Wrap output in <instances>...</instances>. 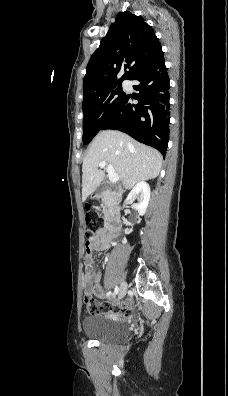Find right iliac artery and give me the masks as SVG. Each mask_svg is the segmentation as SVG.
Returning a JSON list of instances; mask_svg holds the SVG:
<instances>
[{"instance_id": "right-iliac-artery-1", "label": "right iliac artery", "mask_w": 228, "mask_h": 396, "mask_svg": "<svg viewBox=\"0 0 228 396\" xmlns=\"http://www.w3.org/2000/svg\"><path fill=\"white\" fill-rule=\"evenodd\" d=\"M118 292H119V288H118V286H116L114 289L113 295L116 296L118 294Z\"/></svg>"}]
</instances>
